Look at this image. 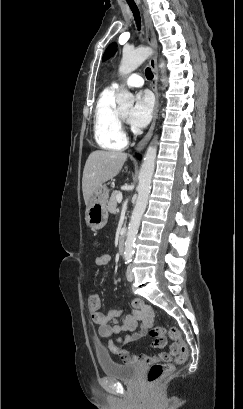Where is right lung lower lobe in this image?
<instances>
[{"instance_id":"98d812e1","label":"right lung lower lobe","mask_w":243,"mask_h":409,"mask_svg":"<svg viewBox=\"0 0 243 409\" xmlns=\"http://www.w3.org/2000/svg\"><path fill=\"white\" fill-rule=\"evenodd\" d=\"M137 157H138V159H140V158H141V156H140V155H138Z\"/></svg>"}]
</instances>
